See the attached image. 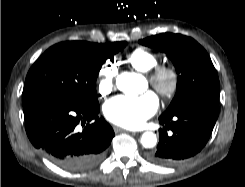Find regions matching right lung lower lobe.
Listing matches in <instances>:
<instances>
[{
    "label": "right lung lower lobe",
    "instance_id": "98d812e1",
    "mask_svg": "<svg viewBox=\"0 0 245 187\" xmlns=\"http://www.w3.org/2000/svg\"><path fill=\"white\" fill-rule=\"evenodd\" d=\"M23 110L32 144L51 162L68 171H83L97 165L114 137L112 127L98 117L99 106L43 99L23 106ZM80 126H84L83 130Z\"/></svg>",
    "mask_w": 245,
    "mask_h": 187
}]
</instances>
